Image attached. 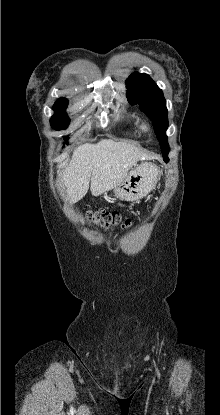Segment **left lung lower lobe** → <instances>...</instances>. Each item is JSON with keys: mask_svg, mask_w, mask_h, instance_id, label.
Instances as JSON below:
<instances>
[{"mask_svg": "<svg viewBox=\"0 0 220 415\" xmlns=\"http://www.w3.org/2000/svg\"><path fill=\"white\" fill-rule=\"evenodd\" d=\"M163 159H164L165 162H168L169 161L168 156H163Z\"/></svg>", "mask_w": 220, "mask_h": 415, "instance_id": "0a47b994", "label": "left lung lower lobe"}]
</instances>
